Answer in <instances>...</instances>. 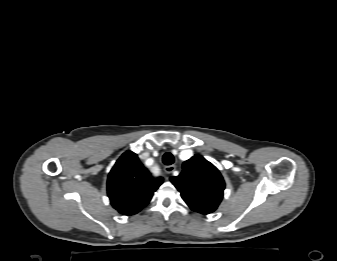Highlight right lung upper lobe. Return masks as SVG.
<instances>
[{
  "label": "right lung upper lobe",
  "instance_id": "right-lung-upper-lobe-1",
  "mask_svg": "<svg viewBox=\"0 0 337 261\" xmlns=\"http://www.w3.org/2000/svg\"><path fill=\"white\" fill-rule=\"evenodd\" d=\"M163 183L154 178L132 151H126L111 169L107 194L112 206L123 215H134L145 207Z\"/></svg>",
  "mask_w": 337,
  "mask_h": 261
}]
</instances>
